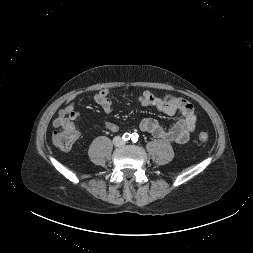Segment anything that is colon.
<instances>
[{
	"label": "colon",
	"instance_id": "obj_1",
	"mask_svg": "<svg viewBox=\"0 0 253 253\" xmlns=\"http://www.w3.org/2000/svg\"><path fill=\"white\" fill-rule=\"evenodd\" d=\"M208 137L209 135L205 131L200 132L198 135V138L201 142L207 141ZM52 140L56 147L63 150H67L72 147L75 141V136L71 130L67 128H63L53 133Z\"/></svg>",
	"mask_w": 253,
	"mask_h": 253
}]
</instances>
